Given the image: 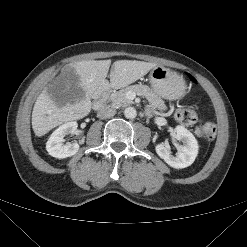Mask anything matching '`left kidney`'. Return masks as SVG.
<instances>
[{
    "mask_svg": "<svg viewBox=\"0 0 247 247\" xmlns=\"http://www.w3.org/2000/svg\"><path fill=\"white\" fill-rule=\"evenodd\" d=\"M175 131V138L183 142V145L179 146L176 156L171 154V151L167 148L165 143L157 144L155 150L158 156L169 166L182 169L190 166L194 162L198 154V143L193 134L183 126H177Z\"/></svg>",
    "mask_w": 247,
    "mask_h": 247,
    "instance_id": "left-kidney-1",
    "label": "left kidney"
}]
</instances>
